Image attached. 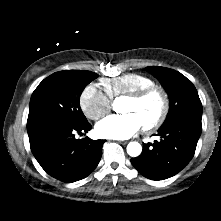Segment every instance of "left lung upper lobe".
<instances>
[{
  "mask_svg": "<svg viewBox=\"0 0 221 221\" xmlns=\"http://www.w3.org/2000/svg\"><path fill=\"white\" fill-rule=\"evenodd\" d=\"M145 70L157 77L170 98V109L163 125L181 116L202 117V104L198 92L183 74L158 66L146 67Z\"/></svg>",
  "mask_w": 221,
  "mask_h": 221,
  "instance_id": "1",
  "label": "left lung upper lobe"
}]
</instances>
